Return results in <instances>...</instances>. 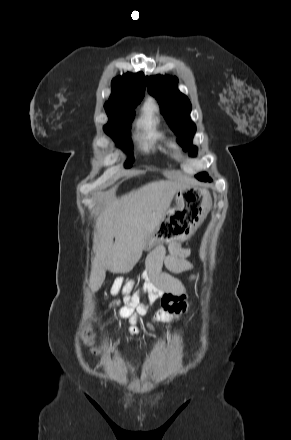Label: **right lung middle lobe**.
<instances>
[{
	"label": "right lung middle lobe",
	"mask_w": 291,
	"mask_h": 440,
	"mask_svg": "<svg viewBox=\"0 0 291 440\" xmlns=\"http://www.w3.org/2000/svg\"><path fill=\"white\" fill-rule=\"evenodd\" d=\"M106 112L109 122L104 126V131L128 154L124 167L129 168L133 161L130 125L134 119L135 112L133 110H109Z\"/></svg>",
	"instance_id": "right-lung-middle-lobe-1"
}]
</instances>
